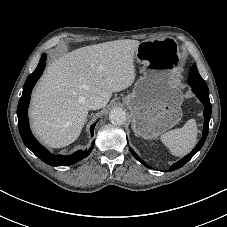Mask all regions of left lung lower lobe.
I'll return each mask as SVG.
<instances>
[{
    "label": "left lung lower lobe",
    "instance_id": "1",
    "mask_svg": "<svg viewBox=\"0 0 227 227\" xmlns=\"http://www.w3.org/2000/svg\"><path fill=\"white\" fill-rule=\"evenodd\" d=\"M190 86L192 87L193 93L196 94V96L199 98V100L204 105L205 121H204V128H203V136H202L201 140L198 142V144L196 145V147L191 151V153H189L187 156H185L178 162L174 163L171 166V168L169 169V171H174L176 169H179L183 165H185L202 148V146L207 138V134H208V130H209V121H210L211 111H212L211 103L209 100V91H208V89L207 90L202 89L201 87H199L198 85H196L194 83ZM130 151L138 161L143 163L145 166L149 167L138 157V155L131 148H130Z\"/></svg>",
    "mask_w": 227,
    "mask_h": 227
}]
</instances>
